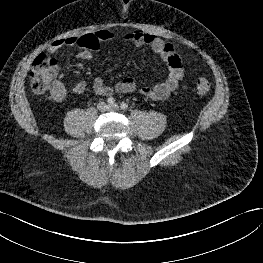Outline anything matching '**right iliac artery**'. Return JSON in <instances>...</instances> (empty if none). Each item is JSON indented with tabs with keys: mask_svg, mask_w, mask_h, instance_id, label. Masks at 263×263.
<instances>
[{
	"mask_svg": "<svg viewBox=\"0 0 263 263\" xmlns=\"http://www.w3.org/2000/svg\"><path fill=\"white\" fill-rule=\"evenodd\" d=\"M108 104L113 105L115 103V99L113 97H110L107 99Z\"/></svg>",
	"mask_w": 263,
	"mask_h": 263,
	"instance_id": "82829eb1",
	"label": "right iliac artery"
}]
</instances>
